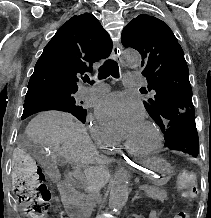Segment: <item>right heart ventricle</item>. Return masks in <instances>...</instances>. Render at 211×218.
I'll list each match as a JSON object with an SVG mask.
<instances>
[{"label":"right heart ventricle","instance_id":"1","mask_svg":"<svg viewBox=\"0 0 211 218\" xmlns=\"http://www.w3.org/2000/svg\"><path fill=\"white\" fill-rule=\"evenodd\" d=\"M113 145V143L109 144V145H106L107 147H111Z\"/></svg>","mask_w":211,"mask_h":218}]
</instances>
